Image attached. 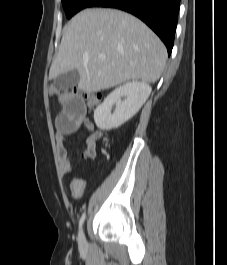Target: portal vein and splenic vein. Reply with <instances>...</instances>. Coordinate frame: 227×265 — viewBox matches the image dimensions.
I'll return each mask as SVG.
<instances>
[{"instance_id":"portal-vein-and-splenic-vein-1","label":"portal vein and splenic vein","mask_w":227,"mask_h":265,"mask_svg":"<svg viewBox=\"0 0 227 265\" xmlns=\"http://www.w3.org/2000/svg\"><path fill=\"white\" fill-rule=\"evenodd\" d=\"M98 57H99V59L104 60L106 58V55L105 54H99Z\"/></svg>"}]
</instances>
